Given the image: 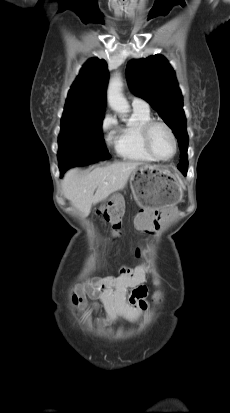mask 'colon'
Returning a JSON list of instances; mask_svg holds the SVG:
<instances>
[{
	"instance_id": "5ec220e1",
	"label": "colon",
	"mask_w": 230,
	"mask_h": 413,
	"mask_svg": "<svg viewBox=\"0 0 230 413\" xmlns=\"http://www.w3.org/2000/svg\"><path fill=\"white\" fill-rule=\"evenodd\" d=\"M125 205L124 192H113V197L108 198V204L98 210L100 218L112 225L114 235L120 233L123 217V206Z\"/></svg>"
}]
</instances>
